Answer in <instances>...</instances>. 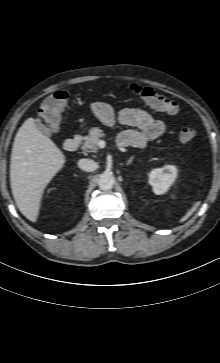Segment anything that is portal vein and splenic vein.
I'll return each mask as SVG.
<instances>
[{
  "instance_id": "18ae733b",
  "label": "portal vein and splenic vein",
  "mask_w": 220,
  "mask_h": 363,
  "mask_svg": "<svg viewBox=\"0 0 220 363\" xmlns=\"http://www.w3.org/2000/svg\"><path fill=\"white\" fill-rule=\"evenodd\" d=\"M98 144H99V146H100V147H104V146H105V142H104V141H102V140H100V141L98 142Z\"/></svg>"
}]
</instances>
